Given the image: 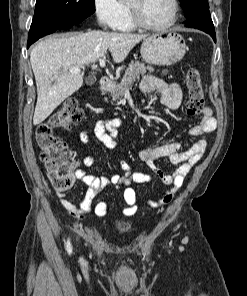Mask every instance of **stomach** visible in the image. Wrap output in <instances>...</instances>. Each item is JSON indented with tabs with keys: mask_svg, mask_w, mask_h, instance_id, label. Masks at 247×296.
I'll return each mask as SVG.
<instances>
[{
	"mask_svg": "<svg viewBox=\"0 0 247 296\" xmlns=\"http://www.w3.org/2000/svg\"><path fill=\"white\" fill-rule=\"evenodd\" d=\"M185 53V40L174 30L152 34L143 40L141 46L143 60L153 65H173L181 61Z\"/></svg>",
	"mask_w": 247,
	"mask_h": 296,
	"instance_id": "0dacf381",
	"label": "stomach"
}]
</instances>
